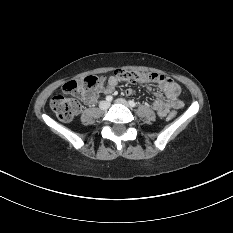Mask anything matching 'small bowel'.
I'll use <instances>...</instances> for the list:
<instances>
[{"instance_id":"1","label":"small bowel","mask_w":233,"mask_h":233,"mask_svg":"<svg viewBox=\"0 0 233 233\" xmlns=\"http://www.w3.org/2000/svg\"><path fill=\"white\" fill-rule=\"evenodd\" d=\"M119 81L120 80L115 75L110 76L109 78L100 77L96 92L92 96L86 98L85 102L92 105L96 102L98 94H111L115 90V87L118 85ZM159 86L164 93L165 98H163L160 93L155 92L156 99L152 104L153 109L159 116L165 117L171 110L180 109L183 107V102L179 98L180 87L176 82H174L171 78L161 76ZM133 93V89H128L126 91L127 95H132Z\"/></svg>"}]
</instances>
